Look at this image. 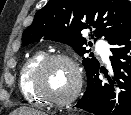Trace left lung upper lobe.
I'll use <instances>...</instances> for the list:
<instances>
[{
  "mask_svg": "<svg viewBox=\"0 0 131 115\" xmlns=\"http://www.w3.org/2000/svg\"><path fill=\"white\" fill-rule=\"evenodd\" d=\"M131 24L127 0H49L24 31L22 42L30 44L44 37L69 44L76 53H88L81 31L91 30V39L105 37L108 43ZM92 45L91 42L88 43ZM87 79L99 68L94 58H84Z\"/></svg>",
  "mask_w": 131,
  "mask_h": 115,
  "instance_id": "left-lung-upper-lobe-1",
  "label": "left lung upper lobe"
}]
</instances>
